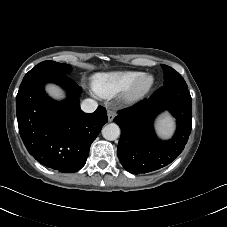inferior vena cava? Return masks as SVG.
Wrapping results in <instances>:
<instances>
[{
    "mask_svg": "<svg viewBox=\"0 0 227 227\" xmlns=\"http://www.w3.org/2000/svg\"><path fill=\"white\" fill-rule=\"evenodd\" d=\"M98 107V103L92 99H85L82 101L81 109L86 113L94 112Z\"/></svg>",
    "mask_w": 227,
    "mask_h": 227,
    "instance_id": "1",
    "label": "inferior vena cava"
}]
</instances>
